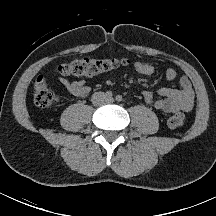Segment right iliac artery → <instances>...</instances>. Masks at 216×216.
<instances>
[{
	"mask_svg": "<svg viewBox=\"0 0 216 216\" xmlns=\"http://www.w3.org/2000/svg\"><path fill=\"white\" fill-rule=\"evenodd\" d=\"M105 96L107 97V98H112V96H113V94H112V92L111 91H107L106 93H105Z\"/></svg>",
	"mask_w": 216,
	"mask_h": 216,
	"instance_id": "obj_1",
	"label": "right iliac artery"
}]
</instances>
